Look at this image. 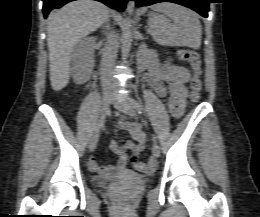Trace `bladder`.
<instances>
[{
	"label": "bladder",
	"mask_w": 260,
	"mask_h": 217,
	"mask_svg": "<svg viewBox=\"0 0 260 217\" xmlns=\"http://www.w3.org/2000/svg\"><path fill=\"white\" fill-rule=\"evenodd\" d=\"M121 175H124L127 178H138V174L131 171H122L120 172Z\"/></svg>",
	"instance_id": "1"
}]
</instances>
